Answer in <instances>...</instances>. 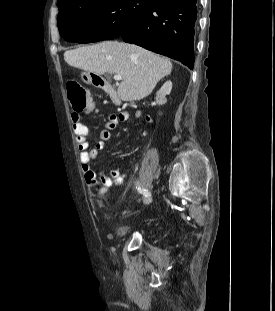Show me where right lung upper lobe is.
Wrapping results in <instances>:
<instances>
[{
    "instance_id": "cb5924a9",
    "label": "right lung upper lobe",
    "mask_w": 275,
    "mask_h": 311,
    "mask_svg": "<svg viewBox=\"0 0 275 311\" xmlns=\"http://www.w3.org/2000/svg\"><path fill=\"white\" fill-rule=\"evenodd\" d=\"M71 0H57V6Z\"/></svg>"
}]
</instances>
